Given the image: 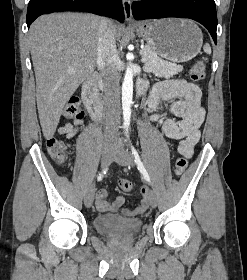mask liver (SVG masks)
<instances>
[{"mask_svg":"<svg viewBox=\"0 0 247 280\" xmlns=\"http://www.w3.org/2000/svg\"><path fill=\"white\" fill-rule=\"evenodd\" d=\"M100 20L91 14L53 13L30 26L37 109L46 139L53 137L69 98L95 70ZM114 26L119 40L123 27Z\"/></svg>","mask_w":247,"mask_h":280,"instance_id":"6515ba94","label":"liver"}]
</instances>
